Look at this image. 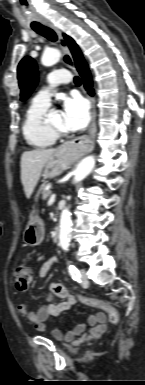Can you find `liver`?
Instances as JSON below:
<instances>
[{"instance_id": "1", "label": "liver", "mask_w": 145, "mask_h": 385, "mask_svg": "<svg viewBox=\"0 0 145 385\" xmlns=\"http://www.w3.org/2000/svg\"><path fill=\"white\" fill-rule=\"evenodd\" d=\"M57 151V149H34L25 151L21 156V181L24 192L29 198L41 175L42 169L49 158Z\"/></svg>"}]
</instances>
